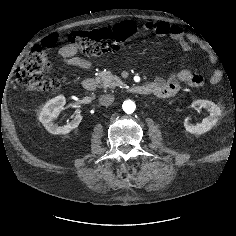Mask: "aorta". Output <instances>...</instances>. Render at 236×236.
Segmentation results:
<instances>
[{
	"mask_svg": "<svg viewBox=\"0 0 236 236\" xmlns=\"http://www.w3.org/2000/svg\"><path fill=\"white\" fill-rule=\"evenodd\" d=\"M123 111L127 114H131L135 111L136 109V104L132 100H126L123 102L122 105Z\"/></svg>",
	"mask_w": 236,
	"mask_h": 236,
	"instance_id": "aorta-1",
	"label": "aorta"
}]
</instances>
